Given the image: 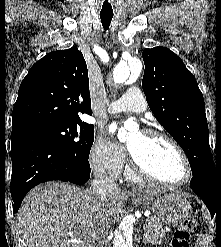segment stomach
Here are the masks:
<instances>
[{
    "instance_id": "stomach-1",
    "label": "stomach",
    "mask_w": 221,
    "mask_h": 247,
    "mask_svg": "<svg viewBox=\"0 0 221 247\" xmlns=\"http://www.w3.org/2000/svg\"><path fill=\"white\" fill-rule=\"evenodd\" d=\"M134 199L153 210L158 219L169 226L179 225L190 213L187 200L176 193H164L156 197L138 193L134 195Z\"/></svg>"
}]
</instances>
